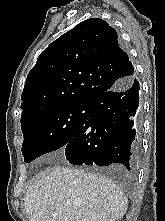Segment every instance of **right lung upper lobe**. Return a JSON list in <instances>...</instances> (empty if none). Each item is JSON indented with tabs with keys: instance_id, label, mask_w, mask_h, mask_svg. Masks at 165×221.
<instances>
[{
	"instance_id": "1",
	"label": "right lung upper lobe",
	"mask_w": 165,
	"mask_h": 221,
	"mask_svg": "<svg viewBox=\"0 0 165 221\" xmlns=\"http://www.w3.org/2000/svg\"><path fill=\"white\" fill-rule=\"evenodd\" d=\"M133 77L116 31L102 19L85 20L39 55L21 96V122L49 109L90 103Z\"/></svg>"
}]
</instances>
